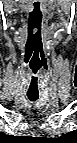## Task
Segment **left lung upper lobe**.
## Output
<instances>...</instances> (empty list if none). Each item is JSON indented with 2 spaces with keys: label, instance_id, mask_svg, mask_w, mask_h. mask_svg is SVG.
Wrapping results in <instances>:
<instances>
[{
  "label": "left lung upper lobe",
  "instance_id": "left-lung-upper-lobe-1",
  "mask_svg": "<svg viewBox=\"0 0 77 143\" xmlns=\"http://www.w3.org/2000/svg\"><path fill=\"white\" fill-rule=\"evenodd\" d=\"M72 138H76L74 131L69 132L66 135H64V136L61 137V139H63V140H74Z\"/></svg>",
  "mask_w": 77,
  "mask_h": 143
}]
</instances>
